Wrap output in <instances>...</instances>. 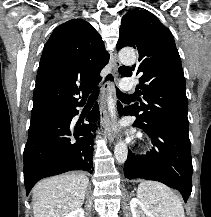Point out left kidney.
<instances>
[{"label": "left kidney", "instance_id": "5707ae66", "mask_svg": "<svg viewBox=\"0 0 211 217\" xmlns=\"http://www.w3.org/2000/svg\"><path fill=\"white\" fill-rule=\"evenodd\" d=\"M130 207L132 217H154L138 198L131 199Z\"/></svg>", "mask_w": 211, "mask_h": 217}]
</instances>
